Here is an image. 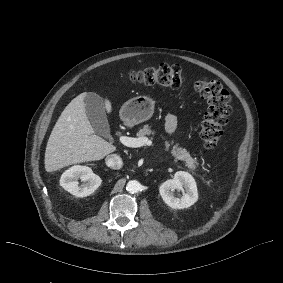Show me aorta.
Here are the masks:
<instances>
[{
	"instance_id": "obj_1",
	"label": "aorta",
	"mask_w": 283,
	"mask_h": 283,
	"mask_svg": "<svg viewBox=\"0 0 283 283\" xmlns=\"http://www.w3.org/2000/svg\"><path fill=\"white\" fill-rule=\"evenodd\" d=\"M126 189L129 193H137L141 189V184L136 180H131L127 183Z\"/></svg>"
}]
</instances>
